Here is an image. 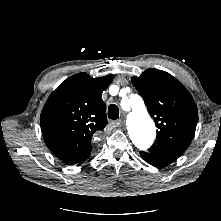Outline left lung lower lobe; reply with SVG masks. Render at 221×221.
<instances>
[{
	"label": "left lung lower lobe",
	"instance_id": "obj_1",
	"mask_svg": "<svg viewBox=\"0 0 221 221\" xmlns=\"http://www.w3.org/2000/svg\"><path fill=\"white\" fill-rule=\"evenodd\" d=\"M141 157L149 164L156 167H163L174 162L178 157L168 156L165 154H157L151 152H140Z\"/></svg>",
	"mask_w": 221,
	"mask_h": 221
}]
</instances>
